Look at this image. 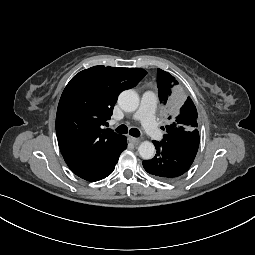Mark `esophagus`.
<instances>
[{"instance_id": "obj_1", "label": "esophagus", "mask_w": 255, "mask_h": 255, "mask_svg": "<svg viewBox=\"0 0 255 255\" xmlns=\"http://www.w3.org/2000/svg\"><path fill=\"white\" fill-rule=\"evenodd\" d=\"M129 141L131 143H133L134 145H137L140 143V139L139 138H135V137H129Z\"/></svg>"}]
</instances>
